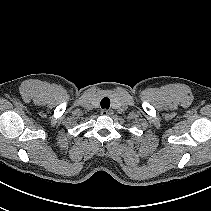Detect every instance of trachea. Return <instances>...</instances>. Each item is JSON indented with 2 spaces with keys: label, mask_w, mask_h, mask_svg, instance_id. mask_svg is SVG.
<instances>
[{
  "label": "trachea",
  "mask_w": 211,
  "mask_h": 211,
  "mask_svg": "<svg viewBox=\"0 0 211 211\" xmlns=\"http://www.w3.org/2000/svg\"><path fill=\"white\" fill-rule=\"evenodd\" d=\"M110 107V100L109 98L105 97L101 100V108L102 109H109Z\"/></svg>",
  "instance_id": "obj_1"
}]
</instances>
